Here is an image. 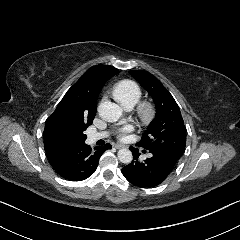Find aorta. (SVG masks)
I'll return each instance as SVG.
<instances>
[{"label":"aorta","instance_id":"obj_1","mask_svg":"<svg viewBox=\"0 0 240 240\" xmlns=\"http://www.w3.org/2000/svg\"><path fill=\"white\" fill-rule=\"evenodd\" d=\"M97 112L104 121L115 122L121 117L122 109L115 103L105 101L98 105ZM117 156L122 163H130L132 160V152L128 148H121Z\"/></svg>","mask_w":240,"mask_h":240}]
</instances>
